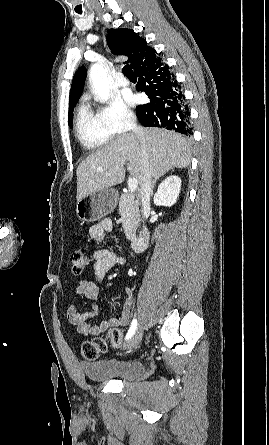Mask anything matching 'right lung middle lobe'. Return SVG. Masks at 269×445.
Wrapping results in <instances>:
<instances>
[{"label": "right lung middle lobe", "mask_w": 269, "mask_h": 445, "mask_svg": "<svg viewBox=\"0 0 269 445\" xmlns=\"http://www.w3.org/2000/svg\"><path fill=\"white\" fill-rule=\"evenodd\" d=\"M75 104L69 106V114H68V123L69 126H71V120H72V115H73V108H74Z\"/></svg>", "instance_id": "obj_1"}]
</instances>
